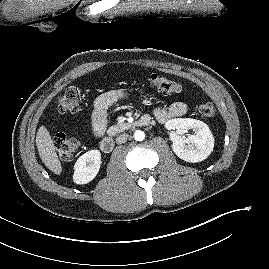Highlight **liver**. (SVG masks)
<instances>
[{"instance_id": "1", "label": "liver", "mask_w": 269, "mask_h": 269, "mask_svg": "<svg viewBox=\"0 0 269 269\" xmlns=\"http://www.w3.org/2000/svg\"><path fill=\"white\" fill-rule=\"evenodd\" d=\"M36 146L44 165L55 174L62 171L61 162L55 152L51 135L45 126H41L36 135Z\"/></svg>"}]
</instances>
